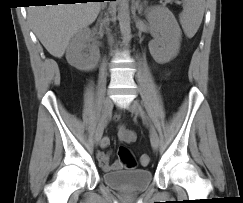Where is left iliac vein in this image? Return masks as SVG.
I'll return each instance as SVG.
<instances>
[{"label": "left iliac vein", "mask_w": 243, "mask_h": 203, "mask_svg": "<svg viewBox=\"0 0 243 203\" xmlns=\"http://www.w3.org/2000/svg\"><path fill=\"white\" fill-rule=\"evenodd\" d=\"M126 108L130 112L135 113V114L139 115L140 117L144 118V113L137 101H135V100L130 101L127 104ZM150 142H151L152 148L154 150H157L159 147V136L153 127L150 128Z\"/></svg>", "instance_id": "1"}]
</instances>
